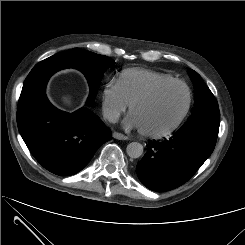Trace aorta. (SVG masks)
I'll list each match as a JSON object with an SVG mask.
<instances>
[{"label":"aorta","mask_w":245,"mask_h":245,"mask_svg":"<svg viewBox=\"0 0 245 245\" xmlns=\"http://www.w3.org/2000/svg\"><path fill=\"white\" fill-rule=\"evenodd\" d=\"M126 152L131 158H139L143 153V146L138 142H131L127 145Z\"/></svg>","instance_id":"obj_1"}]
</instances>
